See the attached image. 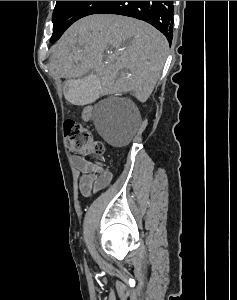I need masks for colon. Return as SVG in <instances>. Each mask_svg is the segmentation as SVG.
Wrapping results in <instances>:
<instances>
[{
    "instance_id": "colon-1",
    "label": "colon",
    "mask_w": 237,
    "mask_h": 300,
    "mask_svg": "<svg viewBox=\"0 0 237 300\" xmlns=\"http://www.w3.org/2000/svg\"><path fill=\"white\" fill-rule=\"evenodd\" d=\"M64 136L69 150L80 155H102L104 146L94 140L91 131L83 125L69 121L64 126Z\"/></svg>"
}]
</instances>
